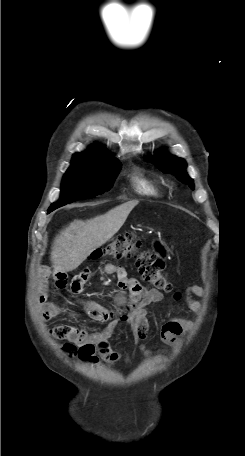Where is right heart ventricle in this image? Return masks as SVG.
I'll return each instance as SVG.
<instances>
[{
	"instance_id": "right-heart-ventricle-1",
	"label": "right heart ventricle",
	"mask_w": 245,
	"mask_h": 456,
	"mask_svg": "<svg viewBox=\"0 0 245 456\" xmlns=\"http://www.w3.org/2000/svg\"><path fill=\"white\" fill-rule=\"evenodd\" d=\"M132 181L137 191L142 194L159 195L162 192L161 187L157 183L142 175L133 176Z\"/></svg>"
}]
</instances>
